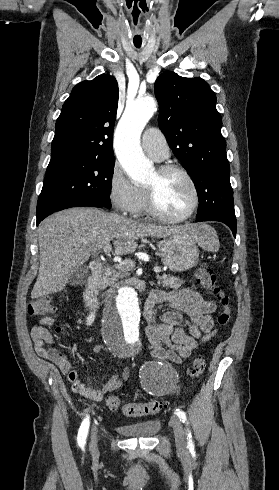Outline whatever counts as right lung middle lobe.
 Masks as SVG:
<instances>
[{
    "label": "right lung middle lobe",
    "mask_w": 279,
    "mask_h": 490,
    "mask_svg": "<svg viewBox=\"0 0 279 490\" xmlns=\"http://www.w3.org/2000/svg\"><path fill=\"white\" fill-rule=\"evenodd\" d=\"M115 158L89 156L49 163L37 202V216L60 203L88 199L110 208Z\"/></svg>",
    "instance_id": "right-lung-middle-lobe-1"
}]
</instances>
